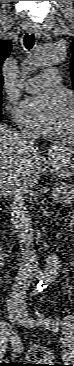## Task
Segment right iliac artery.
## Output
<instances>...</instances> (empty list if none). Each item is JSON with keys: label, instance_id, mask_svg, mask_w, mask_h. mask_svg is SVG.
<instances>
[{"label": "right iliac artery", "instance_id": "1", "mask_svg": "<svg viewBox=\"0 0 74 366\" xmlns=\"http://www.w3.org/2000/svg\"><path fill=\"white\" fill-rule=\"evenodd\" d=\"M9 337H10V340L12 342V346H14L13 344H15V337H14L13 333L10 334Z\"/></svg>", "mask_w": 74, "mask_h": 366}]
</instances>
